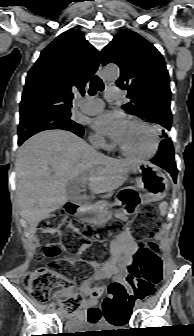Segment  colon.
I'll return each mask as SVG.
<instances>
[{
	"label": "colon",
	"instance_id": "obj_1",
	"mask_svg": "<svg viewBox=\"0 0 194 336\" xmlns=\"http://www.w3.org/2000/svg\"><path fill=\"white\" fill-rule=\"evenodd\" d=\"M160 221L152 215L150 206H147L140 217L132 226V232L140 236H153L160 229ZM77 225L70 223L66 218V213L62 210L54 211L49 214L39 225V234L43 244V253L47 257H56L62 252V240L65 239L66 248L72 253H80L82 259L79 264L86 267L89 262L94 261L103 253V240L92 238L91 235H80L72 233ZM159 248L154 242L141 243L135 256L131 268L132 282L137 284L140 281L147 284L150 288L152 285L161 280V271L158 266ZM62 267L60 263H54L49 267L40 268L29 272L24 278V286L31 297L39 302L45 303L49 300L50 294L57 288L71 289L73 281L62 275L59 270ZM109 298L103 303L106 319L114 324L117 318L114 315L117 309L114 306L118 297L132 302L135 296L126 289V287L117 281L111 282L107 286ZM93 294L98 296L95 289ZM82 296L72 294L61 301V306L70 316H75L80 309Z\"/></svg>",
	"mask_w": 194,
	"mask_h": 336
}]
</instances>
